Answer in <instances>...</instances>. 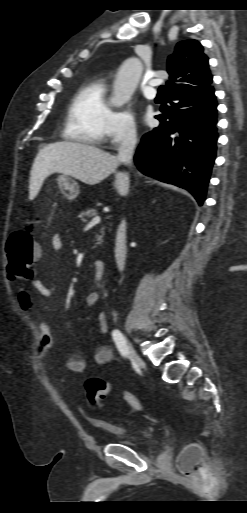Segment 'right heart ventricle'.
Returning <instances> with one entry per match:
<instances>
[{
  "label": "right heart ventricle",
  "instance_id": "1",
  "mask_svg": "<svg viewBox=\"0 0 247 513\" xmlns=\"http://www.w3.org/2000/svg\"><path fill=\"white\" fill-rule=\"evenodd\" d=\"M112 110L103 80L83 83L73 95L64 120V139L88 145H100Z\"/></svg>",
  "mask_w": 247,
  "mask_h": 513
}]
</instances>
